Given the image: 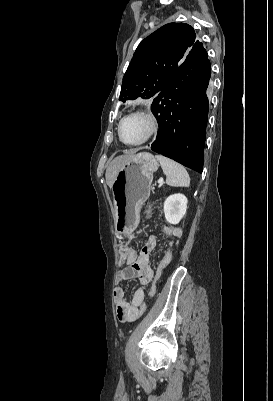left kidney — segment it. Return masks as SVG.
Masks as SVG:
<instances>
[{"mask_svg": "<svg viewBox=\"0 0 273 401\" xmlns=\"http://www.w3.org/2000/svg\"><path fill=\"white\" fill-rule=\"evenodd\" d=\"M187 209V198L185 194H170L164 203V213L167 223L178 225L183 219Z\"/></svg>", "mask_w": 273, "mask_h": 401, "instance_id": "left-kidney-1", "label": "left kidney"}]
</instances>
